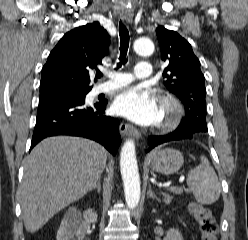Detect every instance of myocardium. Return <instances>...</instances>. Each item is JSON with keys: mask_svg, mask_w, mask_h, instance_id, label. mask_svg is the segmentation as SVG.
Masks as SVG:
<instances>
[{"mask_svg": "<svg viewBox=\"0 0 248 240\" xmlns=\"http://www.w3.org/2000/svg\"><path fill=\"white\" fill-rule=\"evenodd\" d=\"M160 107L164 114L159 122V129L170 131L176 129L185 117V108L181 101L170 93H165L160 97Z\"/></svg>", "mask_w": 248, "mask_h": 240, "instance_id": "myocardium-1", "label": "myocardium"}]
</instances>
